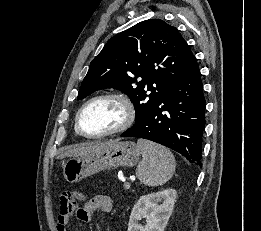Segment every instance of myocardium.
Masks as SVG:
<instances>
[{
	"mask_svg": "<svg viewBox=\"0 0 261 231\" xmlns=\"http://www.w3.org/2000/svg\"><path fill=\"white\" fill-rule=\"evenodd\" d=\"M103 99H113V100L119 101L125 110V120L119 127L114 128L110 131H106V132L99 133V134H88V133L84 132L81 127V115H82L83 111L90 104H92L93 102H96L98 100H103ZM135 117H136V109H135L133 102L131 101V99L128 96L121 94V93H104V94L97 95L95 97L90 98L79 108V110L76 114V117H75V129L79 135H81L82 137H85V138H91V139L103 138V137L125 132L133 125V123L135 121Z\"/></svg>",
	"mask_w": 261,
	"mask_h": 231,
	"instance_id": "obj_1",
	"label": "myocardium"
}]
</instances>
